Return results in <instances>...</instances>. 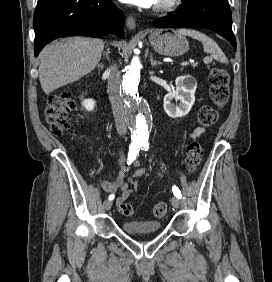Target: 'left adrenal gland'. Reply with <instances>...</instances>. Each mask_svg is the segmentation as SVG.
I'll return each mask as SVG.
<instances>
[{
    "label": "left adrenal gland",
    "instance_id": "1",
    "mask_svg": "<svg viewBox=\"0 0 272 282\" xmlns=\"http://www.w3.org/2000/svg\"><path fill=\"white\" fill-rule=\"evenodd\" d=\"M150 62L152 66L162 64L160 61L154 60L152 54L150 55Z\"/></svg>",
    "mask_w": 272,
    "mask_h": 282
}]
</instances>
